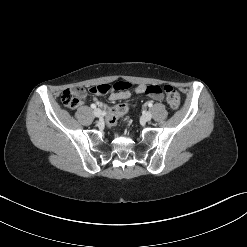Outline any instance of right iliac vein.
Listing matches in <instances>:
<instances>
[{"instance_id": "63e3f726", "label": "right iliac vein", "mask_w": 247, "mask_h": 247, "mask_svg": "<svg viewBox=\"0 0 247 247\" xmlns=\"http://www.w3.org/2000/svg\"><path fill=\"white\" fill-rule=\"evenodd\" d=\"M93 114L96 116V117H101L102 116V111L100 109H95L93 111Z\"/></svg>"}]
</instances>
